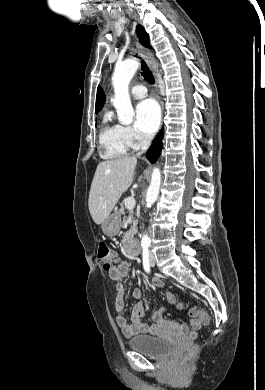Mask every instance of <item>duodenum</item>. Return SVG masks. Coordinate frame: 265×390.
I'll return each instance as SVG.
<instances>
[{
	"label": "duodenum",
	"instance_id": "obj_1",
	"mask_svg": "<svg viewBox=\"0 0 265 390\" xmlns=\"http://www.w3.org/2000/svg\"><path fill=\"white\" fill-rule=\"evenodd\" d=\"M127 250L132 254V255H139L141 252V247L139 243L136 240H131L127 244Z\"/></svg>",
	"mask_w": 265,
	"mask_h": 390
}]
</instances>
